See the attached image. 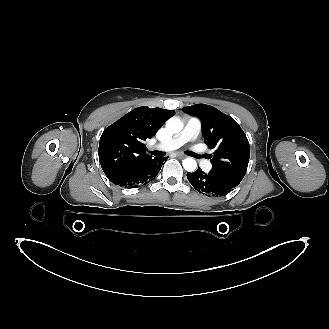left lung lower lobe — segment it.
Segmentation results:
<instances>
[{
	"mask_svg": "<svg viewBox=\"0 0 329 329\" xmlns=\"http://www.w3.org/2000/svg\"><path fill=\"white\" fill-rule=\"evenodd\" d=\"M187 178L198 192L208 196L225 195L239 185L211 171L204 173L200 168L193 173L188 172Z\"/></svg>",
	"mask_w": 329,
	"mask_h": 329,
	"instance_id": "0a47b994",
	"label": "left lung lower lobe"
}]
</instances>
